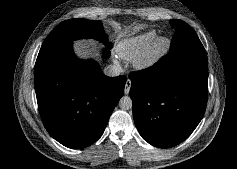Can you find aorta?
Returning <instances> with one entry per match:
<instances>
[{
	"mask_svg": "<svg viewBox=\"0 0 237 169\" xmlns=\"http://www.w3.org/2000/svg\"><path fill=\"white\" fill-rule=\"evenodd\" d=\"M118 105L122 110H130L132 108V100L129 96H123Z\"/></svg>",
	"mask_w": 237,
	"mask_h": 169,
	"instance_id": "obj_1",
	"label": "aorta"
}]
</instances>
